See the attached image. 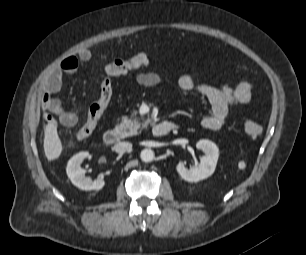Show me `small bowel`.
<instances>
[{
  "label": "small bowel",
  "instance_id": "c3829d8e",
  "mask_svg": "<svg viewBox=\"0 0 306 255\" xmlns=\"http://www.w3.org/2000/svg\"><path fill=\"white\" fill-rule=\"evenodd\" d=\"M91 57L90 50L82 49L76 56L72 55L64 58L46 76L43 83L42 108L44 119L48 123H54L50 114H55L60 123L66 127L74 126L77 123V115L67 110L54 95L61 89L63 76L74 73L78 69L79 61L86 62ZM135 78L137 83L144 87L155 86L161 81V77L156 72L141 68L136 70ZM178 87L182 96L188 93H196L209 102L211 112L201 119L202 127L209 130H219L225 125L231 107L237 104H248L251 101L253 89L249 82H241L235 88L227 84L213 86L206 83H196L188 74H183L178 78Z\"/></svg>",
  "mask_w": 306,
  "mask_h": 255
}]
</instances>
